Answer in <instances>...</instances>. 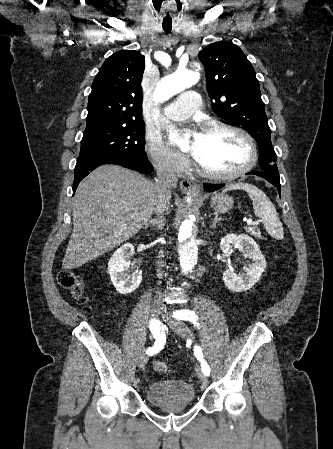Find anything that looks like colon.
<instances>
[{
  "label": "colon",
  "mask_w": 333,
  "mask_h": 449,
  "mask_svg": "<svg viewBox=\"0 0 333 449\" xmlns=\"http://www.w3.org/2000/svg\"><path fill=\"white\" fill-rule=\"evenodd\" d=\"M58 283L61 287L70 290L79 303H87V297L84 295L82 280L77 273L69 269L60 271L58 274ZM154 369L158 373H168L170 371L169 366L165 362L160 361L154 363Z\"/></svg>",
  "instance_id": "5ec220e1"
}]
</instances>
